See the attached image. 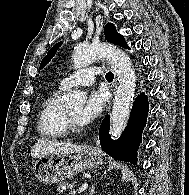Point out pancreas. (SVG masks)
Returning a JSON list of instances; mask_svg holds the SVG:
<instances>
[{
    "label": "pancreas",
    "instance_id": "cf45deb5",
    "mask_svg": "<svg viewBox=\"0 0 189 195\" xmlns=\"http://www.w3.org/2000/svg\"><path fill=\"white\" fill-rule=\"evenodd\" d=\"M74 187H75V182H61L59 185H58V192L59 193H62V192H65V190L67 188H70L71 190H74Z\"/></svg>",
    "mask_w": 189,
    "mask_h": 195
}]
</instances>
